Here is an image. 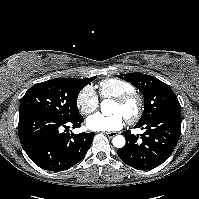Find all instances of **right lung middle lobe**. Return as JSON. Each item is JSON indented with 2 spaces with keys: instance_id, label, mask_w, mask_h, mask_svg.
I'll list each match as a JSON object with an SVG mask.
<instances>
[{
  "instance_id": "dd1d6c3e",
  "label": "right lung middle lobe",
  "mask_w": 199,
  "mask_h": 199,
  "mask_svg": "<svg viewBox=\"0 0 199 199\" xmlns=\"http://www.w3.org/2000/svg\"><path fill=\"white\" fill-rule=\"evenodd\" d=\"M95 78H58L35 84L22 97L19 115L40 113L61 120L76 119L81 116L77 108L78 94Z\"/></svg>"
}]
</instances>
